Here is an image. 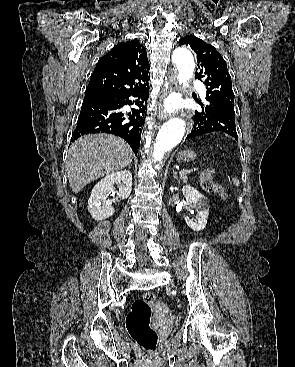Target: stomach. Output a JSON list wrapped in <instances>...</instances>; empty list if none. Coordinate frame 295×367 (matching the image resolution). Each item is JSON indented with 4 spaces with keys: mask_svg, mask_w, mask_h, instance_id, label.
<instances>
[{
    "mask_svg": "<svg viewBox=\"0 0 295 367\" xmlns=\"http://www.w3.org/2000/svg\"><path fill=\"white\" fill-rule=\"evenodd\" d=\"M197 158V155L192 150H184L178 153L177 160L182 162H190Z\"/></svg>",
    "mask_w": 295,
    "mask_h": 367,
    "instance_id": "obj_1",
    "label": "stomach"
}]
</instances>
